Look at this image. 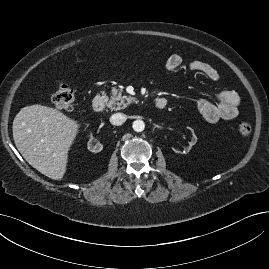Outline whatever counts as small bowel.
I'll use <instances>...</instances> for the list:
<instances>
[{"label": "small bowel", "mask_w": 269, "mask_h": 269, "mask_svg": "<svg viewBox=\"0 0 269 269\" xmlns=\"http://www.w3.org/2000/svg\"><path fill=\"white\" fill-rule=\"evenodd\" d=\"M181 64L182 57L177 54L170 55L165 62L166 69L170 72L178 70ZM188 67L191 71L199 72L213 81L219 78L217 70L207 62L194 60ZM214 99V102L206 98L197 101V108L206 121L211 123L220 120L231 121L238 116L241 100L236 92L223 90L216 93Z\"/></svg>", "instance_id": "1"}]
</instances>
